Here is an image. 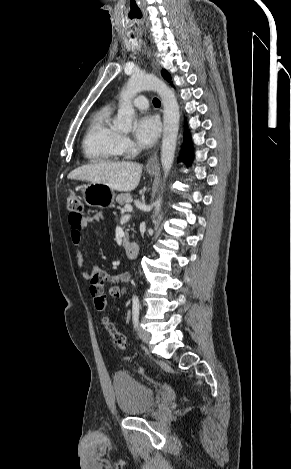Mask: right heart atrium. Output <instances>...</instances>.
<instances>
[{"label": "right heart atrium", "instance_id": "right-heart-atrium-1", "mask_svg": "<svg viewBox=\"0 0 291 469\" xmlns=\"http://www.w3.org/2000/svg\"><path fill=\"white\" fill-rule=\"evenodd\" d=\"M120 142L123 151H130L133 149V143L131 142L129 137L121 135Z\"/></svg>", "mask_w": 291, "mask_h": 469}]
</instances>
